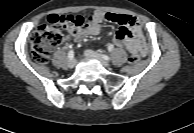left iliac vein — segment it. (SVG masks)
Listing matches in <instances>:
<instances>
[{"label": "left iliac vein", "instance_id": "left-iliac-vein-1", "mask_svg": "<svg viewBox=\"0 0 194 133\" xmlns=\"http://www.w3.org/2000/svg\"><path fill=\"white\" fill-rule=\"evenodd\" d=\"M85 55L87 57H92L95 58L96 60H98L100 62V64L106 68H109L110 65L108 62H106L98 53L92 51V50H86L85 51Z\"/></svg>", "mask_w": 194, "mask_h": 133}]
</instances>
